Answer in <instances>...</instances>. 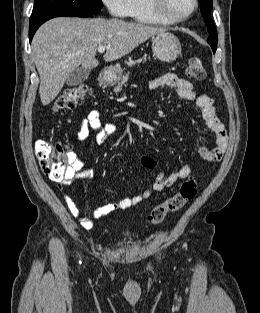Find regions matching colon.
I'll use <instances>...</instances> for the list:
<instances>
[{
	"mask_svg": "<svg viewBox=\"0 0 260 313\" xmlns=\"http://www.w3.org/2000/svg\"><path fill=\"white\" fill-rule=\"evenodd\" d=\"M185 76L192 80H203L206 76L205 69L199 58H190L185 67ZM88 87L84 84L67 88L54 101L53 112L66 111L84 102ZM36 156L42 172L48 178L61 181L69 166V153L60 144L47 140H38L35 147ZM197 193V182L194 179L185 181L179 191L156 205L147 217V223L157 225L164 221L169 213L179 211L187 202L192 200Z\"/></svg>",
	"mask_w": 260,
	"mask_h": 313,
	"instance_id": "obj_1",
	"label": "colon"
}]
</instances>
